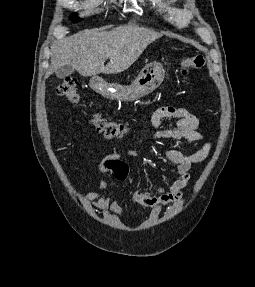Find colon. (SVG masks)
Listing matches in <instances>:
<instances>
[{
	"mask_svg": "<svg viewBox=\"0 0 255 287\" xmlns=\"http://www.w3.org/2000/svg\"><path fill=\"white\" fill-rule=\"evenodd\" d=\"M180 65L184 77H187L191 71L201 69L205 65V59L200 55L184 56L180 59ZM57 93L68 103L78 104L80 102L77 82L73 78L64 79L57 87ZM91 124L98 132L109 138L121 137L127 132L122 124L110 121L99 114L92 117Z\"/></svg>",
	"mask_w": 255,
	"mask_h": 287,
	"instance_id": "1",
	"label": "colon"
}]
</instances>
